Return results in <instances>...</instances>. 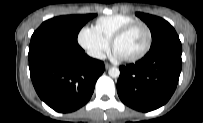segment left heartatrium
<instances>
[{
    "label": "left heart atrium",
    "instance_id": "left-heart-atrium-1",
    "mask_svg": "<svg viewBox=\"0 0 203 123\" xmlns=\"http://www.w3.org/2000/svg\"><path fill=\"white\" fill-rule=\"evenodd\" d=\"M116 57H121L116 51L114 52Z\"/></svg>",
    "mask_w": 203,
    "mask_h": 123
}]
</instances>
